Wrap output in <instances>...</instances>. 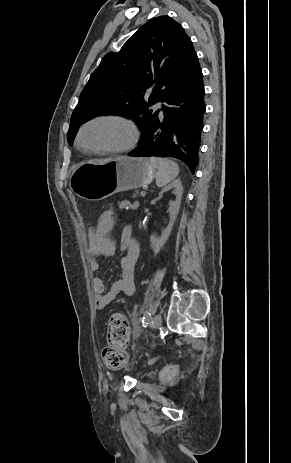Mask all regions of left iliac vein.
I'll return each instance as SVG.
<instances>
[{
  "label": "left iliac vein",
  "instance_id": "4c4485c4",
  "mask_svg": "<svg viewBox=\"0 0 291 463\" xmlns=\"http://www.w3.org/2000/svg\"><path fill=\"white\" fill-rule=\"evenodd\" d=\"M162 324V317L161 314H156L153 318V328L158 329Z\"/></svg>",
  "mask_w": 291,
  "mask_h": 463
}]
</instances>
